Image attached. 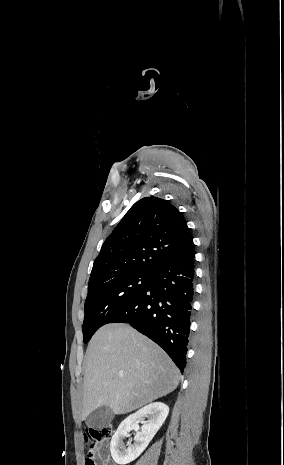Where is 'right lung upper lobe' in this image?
I'll return each mask as SVG.
<instances>
[{"instance_id":"cb5924a9","label":"right lung upper lobe","mask_w":284,"mask_h":465,"mask_svg":"<svg viewBox=\"0 0 284 465\" xmlns=\"http://www.w3.org/2000/svg\"><path fill=\"white\" fill-rule=\"evenodd\" d=\"M192 244L186 221L168 201L136 202L105 240L94 261L88 288L127 274L153 275Z\"/></svg>"}]
</instances>
